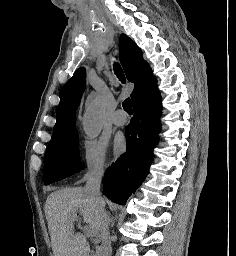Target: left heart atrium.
<instances>
[{"label":"left heart atrium","instance_id":"obj_1","mask_svg":"<svg viewBox=\"0 0 236 256\" xmlns=\"http://www.w3.org/2000/svg\"><path fill=\"white\" fill-rule=\"evenodd\" d=\"M122 145H123V141L122 140L117 141V143H116V150L119 151L120 148L122 147Z\"/></svg>","mask_w":236,"mask_h":256}]
</instances>
